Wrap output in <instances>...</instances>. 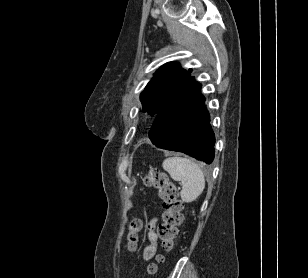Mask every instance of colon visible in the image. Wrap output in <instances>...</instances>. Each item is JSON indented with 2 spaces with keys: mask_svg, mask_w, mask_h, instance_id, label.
I'll use <instances>...</instances> for the list:
<instances>
[{
  "mask_svg": "<svg viewBox=\"0 0 308 278\" xmlns=\"http://www.w3.org/2000/svg\"><path fill=\"white\" fill-rule=\"evenodd\" d=\"M144 185L158 190L159 197L163 207V222L157 227V237L161 247L165 252H169L178 235V228L183 221V203L179 199L176 186L168 179L167 175L158 170L151 169L143 176ZM142 229V222L138 218H134L128 225L127 246L130 250H134L138 243V234ZM162 256H158V260H162ZM157 267L151 264L148 268L150 273H154Z\"/></svg>",
  "mask_w": 308,
  "mask_h": 278,
  "instance_id": "5ec220e1",
  "label": "colon"
}]
</instances>
